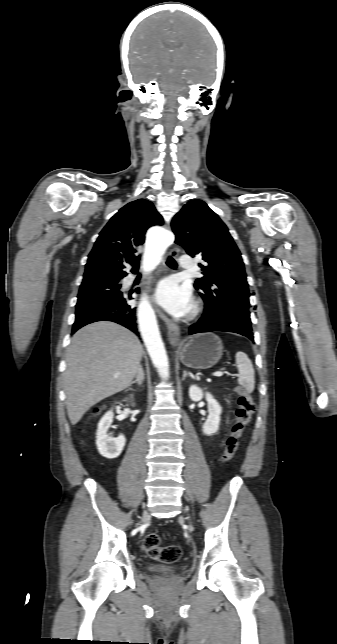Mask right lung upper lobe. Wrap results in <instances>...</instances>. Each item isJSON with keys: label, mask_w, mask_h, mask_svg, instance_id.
Masks as SVG:
<instances>
[{"label": "right lung upper lobe", "mask_w": 337, "mask_h": 644, "mask_svg": "<svg viewBox=\"0 0 337 644\" xmlns=\"http://www.w3.org/2000/svg\"><path fill=\"white\" fill-rule=\"evenodd\" d=\"M163 218L154 205L138 199L122 207L100 232L88 256L83 281L97 278H123L126 264L137 271V248L144 243L146 230L162 225Z\"/></svg>", "instance_id": "1"}]
</instances>
